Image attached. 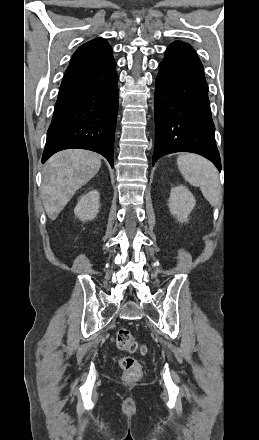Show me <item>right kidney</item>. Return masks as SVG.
Wrapping results in <instances>:
<instances>
[{
    "label": "right kidney",
    "mask_w": 259,
    "mask_h": 440,
    "mask_svg": "<svg viewBox=\"0 0 259 440\" xmlns=\"http://www.w3.org/2000/svg\"><path fill=\"white\" fill-rule=\"evenodd\" d=\"M100 194L97 190H91L83 195L77 203L74 214L81 221H91L96 218L100 207Z\"/></svg>",
    "instance_id": "right-kidney-1"
}]
</instances>
